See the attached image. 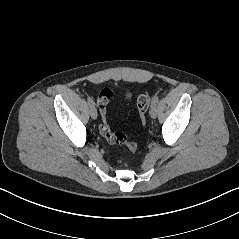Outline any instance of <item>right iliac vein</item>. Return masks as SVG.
I'll use <instances>...</instances> for the list:
<instances>
[{"label":"right iliac vein","instance_id":"1","mask_svg":"<svg viewBox=\"0 0 239 239\" xmlns=\"http://www.w3.org/2000/svg\"><path fill=\"white\" fill-rule=\"evenodd\" d=\"M90 115L93 119L97 118V109L95 106H90Z\"/></svg>","mask_w":239,"mask_h":239}]
</instances>
